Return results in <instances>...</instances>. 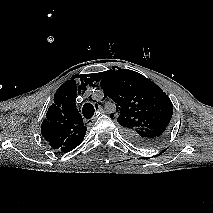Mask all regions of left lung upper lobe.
Wrapping results in <instances>:
<instances>
[{"label":"left lung upper lobe","mask_w":213,"mask_h":213,"mask_svg":"<svg viewBox=\"0 0 213 213\" xmlns=\"http://www.w3.org/2000/svg\"><path fill=\"white\" fill-rule=\"evenodd\" d=\"M99 80L104 98L116 103L117 121L131 142L148 147L165 138L173 105L158 85L138 72L118 67L102 72Z\"/></svg>","instance_id":"5c2ea615"}]
</instances>
